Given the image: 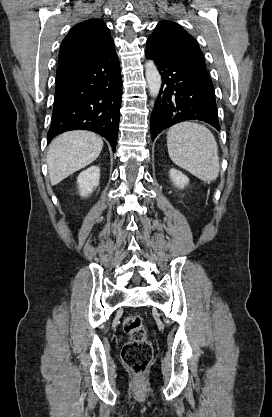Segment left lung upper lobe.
<instances>
[{"instance_id": "5c2ea615", "label": "left lung upper lobe", "mask_w": 272, "mask_h": 417, "mask_svg": "<svg viewBox=\"0 0 272 417\" xmlns=\"http://www.w3.org/2000/svg\"><path fill=\"white\" fill-rule=\"evenodd\" d=\"M146 49L155 54L181 57L205 65L197 41L174 22L161 21L148 38Z\"/></svg>"}]
</instances>
